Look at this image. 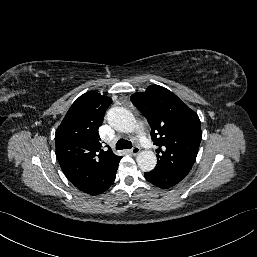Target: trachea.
<instances>
[{"instance_id":"obj_1","label":"trachea","mask_w":257,"mask_h":257,"mask_svg":"<svg viewBox=\"0 0 257 257\" xmlns=\"http://www.w3.org/2000/svg\"><path fill=\"white\" fill-rule=\"evenodd\" d=\"M132 148V143L128 140L125 139H120L116 143V149L117 150H123V149H131Z\"/></svg>"}]
</instances>
